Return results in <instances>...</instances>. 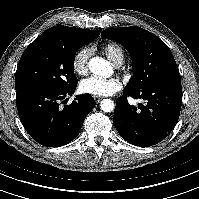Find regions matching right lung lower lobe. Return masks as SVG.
<instances>
[{"mask_svg": "<svg viewBox=\"0 0 199 199\" xmlns=\"http://www.w3.org/2000/svg\"><path fill=\"white\" fill-rule=\"evenodd\" d=\"M76 86L66 90L28 88L18 90V114L28 134L46 147H59L74 140L86 116L95 106L90 94L78 95L74 101L59 106L67 96H72Z\"/></svg>", "mask_w": 199, "mask_h": 199, "instance_id": "right-lung-lower-lobe-1", "label": "right lung lower lobe"}]
</instances>
